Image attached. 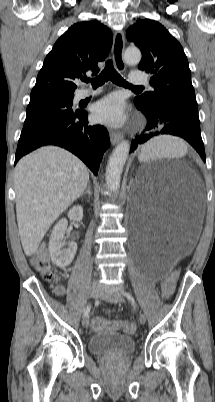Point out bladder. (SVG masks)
Returning a JSON list of instances; mask_svg holds the SVG:
<instances>
[{"label":"bladder","mask_w":215,"mask_h":402,"mask_svg":"<svg viewBox=\"0 0 215 402\" xmlns=\"http://www.w3.org/2000/svg\"><path fill=\"white\" fill-rule=\"evenodd\" d=\"M88 346L90 352L96 356L116 359L130 356L136 347L131 336L113 331H100L93 334L89 338Z\"/></svg>","instance_id":"1"}]
</instances>
